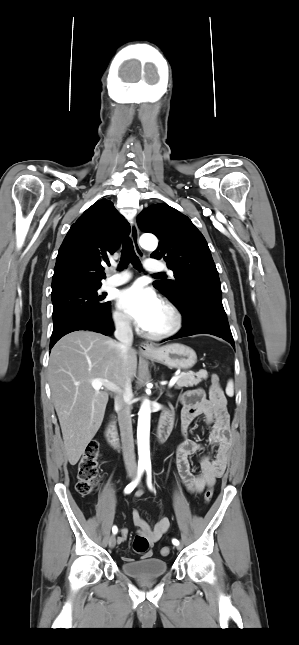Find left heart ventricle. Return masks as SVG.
<instances>
[{"label": "left heart ventricle", "mask_w": 299, "mask_h": 645, "mask_svg": "<svg viewBox=\"0 0 299 645\" xmlns=\"http://www.w3.org/2000/svg\"><path fill=\"white\" fill-rule=\"evenodd\" d=\"M169 324V316L167 312L162 307L155 317L154 321L147 329V331L156 332L165 329Z\"/></svg>", "instance_id": "obj_1"}]
</instances>
